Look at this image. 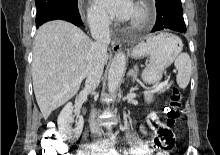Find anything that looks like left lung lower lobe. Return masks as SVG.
<instances>
[{
    "instance_id": "obj_1",
    "label": "left lung lower lobe",
    "mask_w": 220,
    "mask_h": 155,
    "mask_svg": "<svg viewBox=\"0 0 220 155\" xmlns=\"http://www.w3.org/2000/svg\"><path fill=\"white\" fill-rule=\"evenodd\" d=\"M157 20L152 32L171 29L186 32L180 0H156Z\"/></svg>"
}]
</instances>
